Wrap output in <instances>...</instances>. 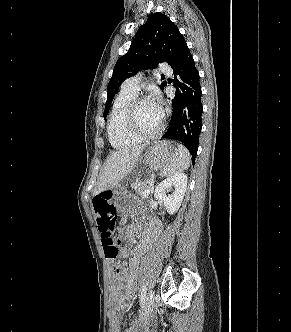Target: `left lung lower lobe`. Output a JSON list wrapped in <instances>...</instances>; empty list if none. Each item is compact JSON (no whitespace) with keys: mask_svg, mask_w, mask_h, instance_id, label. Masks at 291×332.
Masks as SVG:
<instances>
[{"mask_svg":"<svg viewBox=\"0 0 291 332\" xmlns=\"http://www.w3.org/2000/svg\"><path fill=\"white\" fill-rule=\"evenodd\" d=\"M172 69L175 75L174 86L180 90L172 99L171 120L162 138L181 141L195 159L202 129L203 107L200 77L188 46Z\"/></svg>","mask_w":291,"mask_h":332,"instance_id":"obj_1","label":"left lung lower lobe"}]
</instances>
